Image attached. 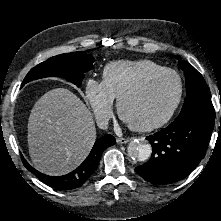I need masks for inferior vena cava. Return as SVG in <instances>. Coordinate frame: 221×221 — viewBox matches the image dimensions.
Instances as JSON below:
<instances>
[{
	"label": "inferior vena cava",
	"mask_w": 221,
	"mask_h": 221,
	"mask_svg": "<svg viewBox=\"0 0 221 221\" xmlns=\"http://www.w3.org/2000/svg\"><path fill=\"white\" fill-rule=\"evenodd\" d=\"M108 122H109L108 118H100V119L97 120V125L101 129H107L108 128Z\"/></svg>",
	"instance_id": "obj_1"
}]
</instances>
